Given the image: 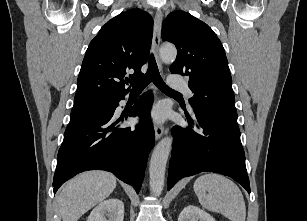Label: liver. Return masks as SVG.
Instances as JSON below:
<instances>
[{
    "label": "liver",
    "instance_id": "liver-1",
    "mask_svg": "<svg viewBox=\"0 0 307 221\" xmlns=\"http://www.w3.org/2000/svg\"><path fill=\"white\" fill-rule=\"evenodd\" d=\"M116 187V177L105 171L81 173L61 189L58 210L63 221L78 219L96 204L106 199Z\"/></svg>",
    "mask_w": 307,
    "mask_h": 221
}]
</instances>
